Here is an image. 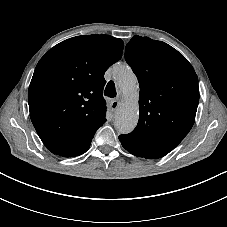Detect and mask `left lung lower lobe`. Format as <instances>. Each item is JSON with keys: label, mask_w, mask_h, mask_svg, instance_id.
Returning <instances> with one entry per match:
<instances>
[{"label": "left lung lower lobe", "mask_w": 227, "mask_h": 227, "mask_svg": "<svg viewBox=\"0 0 227 227\" xmlns=\"http://www.w3.org/2000/svg\"><path fill=\"white\" fill-rule=\"evenodd\" d=\"M119 140L122 146L135 156L145 157L147 159H157L164 156L161 152L156 151L155 149L146 146H140L134 141L122 138V136H119Z\"/></svg>", "instance_id": "1"}]
</instances>
